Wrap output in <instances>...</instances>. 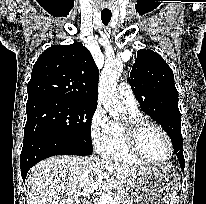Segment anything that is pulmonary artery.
Instances as JSON below:
<instances>
[{"label":"pulmonary artery","instance_id":"e3ab8cb5","mask_svg":"<svg viewBox=\"0 0 206 204\" xmlns=\"http://www.w3.org/2000/svg\"><path fill=\"white\" fill-rule=\"evenodd\" d=\"M118 97L121 102L129 108L136 109L137 101L135 95L128 83L122 82L117 88Z\"/></svg>","mask_w":206,"mask_h":204}]
</instances>
